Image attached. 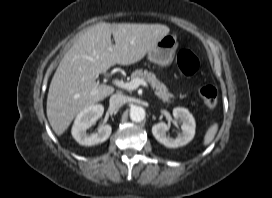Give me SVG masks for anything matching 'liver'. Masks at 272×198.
Segmentation results:
<instances>
[{
    "label": "liver",
    "mask_w": 272,
    "mask_h": 198,
    "mask_svg": "<svg viewBox=\"0 0 272 198\" xmlns=\"http://www.w3.org/2000/svg\"><path fill=\"white\" fill-rule=\"evenodd\" d=\"M169 32L161 24L90 26L65 54L50 83L47 117L54 132L62 135L81 110L114 92L113 87L96 82L98 74L116 64L140 61Z\"/></svg>",
    "instance_id": "1"
}]
</instances>
